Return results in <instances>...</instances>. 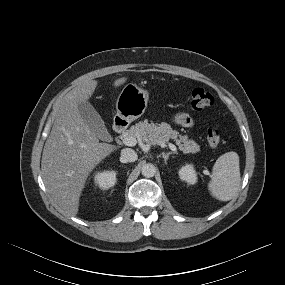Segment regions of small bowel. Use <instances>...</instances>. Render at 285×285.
<instances>
[{"mask_svg":"<svg viewBox=\"0 0 285 285\" xmlns=\"http://www.w3.org/2000/svg\"><path fill=\"white\" fill-rule=\"evenodd\" d=\"M174 121L183 127H191L194 123L193 118L186 112L175 115Z\"/></svg>","mask_w":285,"mask_h":285,"instance_id":"small-bowel-1","label":"small bowel"}]
</instances>
